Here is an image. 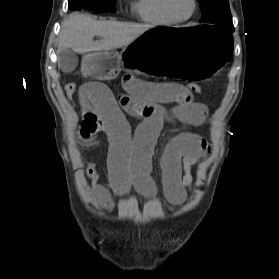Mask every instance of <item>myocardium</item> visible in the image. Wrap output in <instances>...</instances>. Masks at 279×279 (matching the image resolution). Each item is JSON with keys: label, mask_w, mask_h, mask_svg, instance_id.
Returning a JSON list of instances; mask_svg holds the SVG:
<instances>
[{"label": "myocardium", "mask_w": 279, "mask_h": 279, "mask_svg": "<svg viewBox=\"0 0 279 279\" xmlns=\"http://www.w3.org/2000/svg\"><path fill=\"white\" fill-rule=\"evenodd\" d=\"M168 2H169L168 0H162L163 11L165 12V14L168 17H170L175 22H185V21H188L195 14V12L197 10V7H198L197 0H192L193 7H192V10H191L190 14L188 16H186V17H177L170 10Z\"/></svg>", "instance_id": "obj_1"}]
</instances>
